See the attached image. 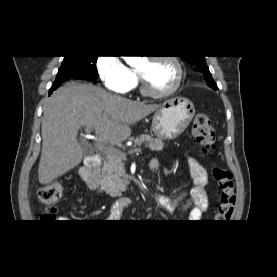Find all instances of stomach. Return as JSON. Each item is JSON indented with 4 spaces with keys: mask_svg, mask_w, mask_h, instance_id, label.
<instances>
[{
    "mask_svg": "<svg viewBox=\"0 0 277 277\" xmlns=\"http://www.w3.org/2000/svg\"><path fill=\"white\" fill-rule=\"evenodd\" d=\"M195 115L194 104L184 97H174L163 102L152 120V132L161 140L179 137Z\"/></svg>",
    "mask_w": 277,
    "mask_h": 277,
    "instance_id": "1",
    "label": "stomach"
}]
</instances>
